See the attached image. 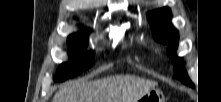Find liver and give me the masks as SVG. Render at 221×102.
Returning a JSON list of instances; mask_svg holds the SVG:
<instances>
[{
    "mask_svg": "<svg viewBox=\"0 0 221 102\" xmlns=\"http://www.w3.org/2000/svg\"><path fill=\"white\" fill-rule=\"evenodd\" d=\"M156 85L136 76L117 75L69 83L54 95L52 102H137Z\"/></svg>",
    "mask_w": 221,
    "mask_h": 102,
    "instance_id": "1",
    "label": "liver"
}]
</instances>
